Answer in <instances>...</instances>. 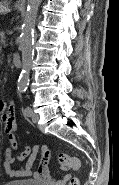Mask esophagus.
<instances>
[{
  "label": "esophagus",
  "mask_w": 119,
  "mask_h": 185,
  "mask_svg": "<svg viewBox=\"0 0 119 185\" xmlns=\"http://www.w3.org/2000/svg\"><path fill=\"white\" fill-rule=\"evenodd\" d=\"M25 1H26V0H18V1H17V4H23V3H25Z\"/></svg>",
  "instance_id": "obj_1"
}]
</instances>
